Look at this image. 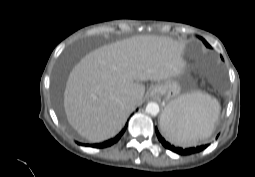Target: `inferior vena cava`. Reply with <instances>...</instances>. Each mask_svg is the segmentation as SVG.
I'll return each instance as SVG.
<instances>
[{
	"mask_svg": "<svg viewBox=\"0 0 255 177\" xmlns=\"http://www.w3.org/2000/svg\"><path fill=\"white\" fill-rule=\"evenodd\" d=\"M129 104H134V99L133 98H131V99H129Z\"/></svg>",
	"mask_w": 255,
	"mask_h": 177,
	"instance_id": "1",
	"label": "inferior vena cava"
}]
</instances>
